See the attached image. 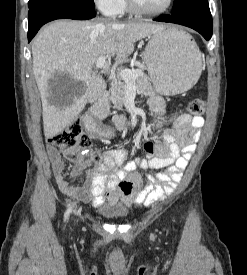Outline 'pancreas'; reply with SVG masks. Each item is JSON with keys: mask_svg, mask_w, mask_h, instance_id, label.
<instances>
[{"mask_svg": "<svg viewBox=\"0 0 247 275\" xmlns=\"http://www.w3.org/2000/svg\"><path fill=\"white\" fill-rule=\"evenodd\" d=\"M133 84L138 94L149 96L155 93L151 84V79L146 74L136 77ZM128 85V82L125 80L113 84L109 100L114 104L115 108L122 109L124 106Z\"/></svg>", "mask_w": 247, "mask_h": 275, "instance_id": "obj_1", "label": "pancreas"}]
</instances>
